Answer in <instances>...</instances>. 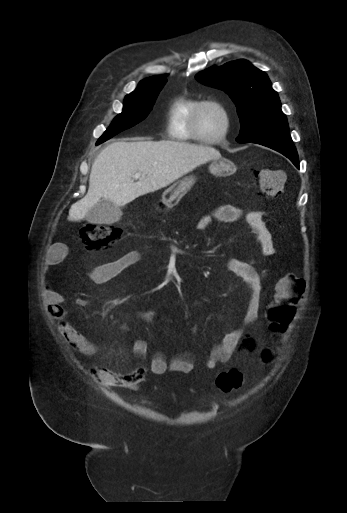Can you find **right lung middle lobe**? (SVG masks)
I'll return each mask as SVG.
<instances>
[{
    "label": "right lung middle lobe",
    "mask_w": 347,
    "mask_h": 513,
    "mask_svg": "<svg viewBox=\"0 0 347 513\" xmlns=\"http://www.w3.org/2000/svg\"><path fill=\"white\" fill-rule=\"evenodd\" d=\"M165 83V78L141 82L136 90L125 97L122 113L114 118L112 124L99 138L98 142H105L121 131L142 121L151 111Z\"/></svg>",
    "instance_id": "obj_1"
}]
</instances>
